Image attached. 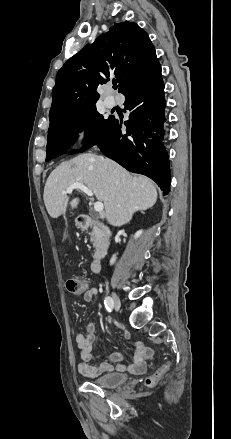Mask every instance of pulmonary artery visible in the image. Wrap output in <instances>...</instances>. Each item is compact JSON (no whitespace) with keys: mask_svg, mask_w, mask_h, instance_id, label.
Returning a JSON list of instances; mask_svg holds the SVG:
<instances>
[{"mask_svg":"<svg viewBox=\"0 0 231 439\" xmlns=\"http://www.w3.org/2000/svg\"><path fill=\"white\" fill-rule=\"evenodd\" d=\"M104 103H105V106L107 107V108H113L114 106H115V100L114 99H112V98H106L105 99V101H104Z\"/></svg>","mask_w":231,"mask_h":439,"instance_id":"obj_1","label":"pulmonary artery"}]
</instances>
